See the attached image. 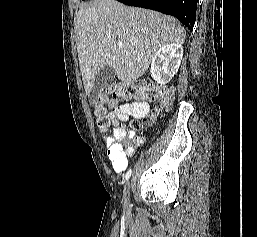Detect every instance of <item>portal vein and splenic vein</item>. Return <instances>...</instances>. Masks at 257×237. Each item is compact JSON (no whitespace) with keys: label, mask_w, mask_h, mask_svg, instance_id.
<instances>
[{"label":"portal vein and splenic vein","mask_w":257,"mask_h":237,"mask_svg":"<svg viewBox=\"0 0 257 237\" xmlns=\"http://www.w3.org/2000/svg\"><path fill=\"white\" fill-rule=\"evenodd\" d=\"M117 46H118L119 48H123V47H124V44H123V42H120V41H119V42L117 43Z\"/></svg>","instance_id":"portal-vein-and-splenic-vein-1"}]
</instances>
